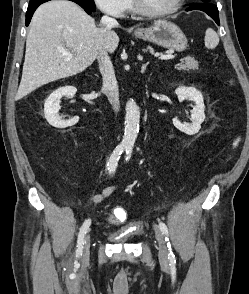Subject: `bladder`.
Returning <instances> with one entry per match:
<instances>
[{"mask_svg": "<svg viewBox=\"0 0 249 294\" xmlns=\"http://www.w3.org/2000/svg\"><path fill=\"white\" fill-rule=\"evenodd\" d=\"M144 235L143 230H137L134 232H128L126 230H119L115 233H110L108 235V240L113 243H119V242H126L133 240L136 237H140Z\"/></svg>", "mask_w": 249, "mask_h": 294, "instance_id": "obj_1", "label": "bladder"}]
</instances>
